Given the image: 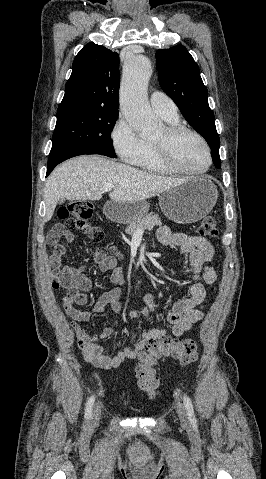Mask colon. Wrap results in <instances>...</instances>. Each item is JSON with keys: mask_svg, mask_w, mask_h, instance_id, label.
<instances>
[{"mask_svg": "<svg viewBox=\"0 0 266 479\" xmlns=\"http://www.w3.org/2000/svg\"><path fill=\"white\" fill-rule=\"evenodd\" d=\"M93 204L88 200H78L69 203L58 211V217L63 222L56 225L47 236L48 243L54 244L51 255L54 261L66 254V248L56 241L65 230H76L84 234L92 242H100L104 238L103 231L90 222ZM199 232L206 237L215 238L218 235L216 220L205 217L199 227ZM113 254L115 248L110 249ZM173 357L183 366L194 363L198 358V345L193 339H180L163 337L149 341L143 351L138 355V364L135 375L138 387L148 397L155 398L159 392V380L156 376L155 366L161 357Z\"/></svg>", "mask_w": 266, "mask_h": 479, "instance_id": "1", "label": "colon"}]
</instances>
